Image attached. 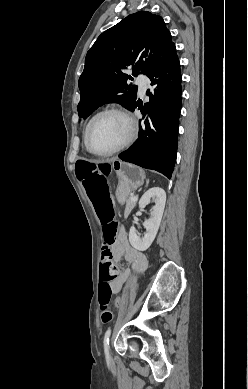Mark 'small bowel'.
Segmentation results:
<instances>
[{
  "instance_id": "1",
  "label": "small bowel",
  "mask_w": 248,
  "mask_h": 389,
  "mask_svg": "<svg viewBox=\"0 0 248 389\" xmlns=\"http://www.w3.org/2000/svg\"><path fill=\"white\" fill-rule=\"evenodd\" d=\"M111 251L115 260L119 261L122 257H125L131 265V268L122 269L111 285L112 292L117 294L130 278L132 271L141 273L145 270L147 261L141 252L130 245L124 228L120 229L118 239L113 244Z\"/></svg>"
}]
</instances>
